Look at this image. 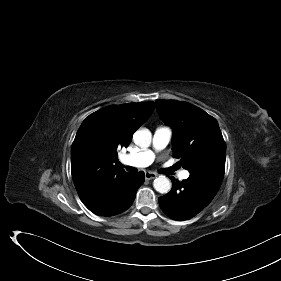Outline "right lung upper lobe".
I'll return each instance as SVG.
<instances>
[{
  "mask_svg": "<svg viewBox=\"0 0 281 281\" xmlns=\"http://www.w3.org/2000/svg\"><path fill=\"white\" fill-rule=\"evenodd\" d=\"M154 108V102L111 105L83 121L71 148L72 178L82 202L127 174L118 165L117 149L131 143L133 133Z\"/></svg>",
  "mask_w": 281,
  "mask_h": 281,
  "instance_id": "cb5924a9",
  "label": "right lung upper lobe"
}]
</instances>
